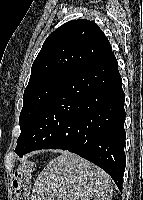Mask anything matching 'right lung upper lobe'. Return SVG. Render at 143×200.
Segmentation results:
<instances>
[{"label":"right lung upper lobe","mask_w":143,"mask_h":200,"mask_svg":"<svg viewBox=\"0 0 143 200\" xmlns=\"http://www.w3.org/2000/svg\"><path fill=\"white\" fill-rule=\"evenodd\" d=\"M111 53L109 40L95 23L85 19L67 22L43 43L29 83L51 74L72 75Z\"/></svg>","instance_id":"right-lung-upper-lobe-1"}]
</instances>
